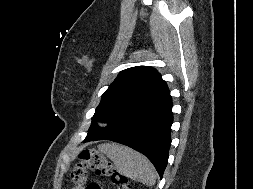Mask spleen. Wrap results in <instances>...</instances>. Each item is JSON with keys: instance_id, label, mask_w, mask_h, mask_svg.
<instances>
[{"instance_id": "obj_1", "label": "spleen", "mask_w": 253, "mask_h": 189, "mask_svg": "<svg viewBox=\"0 0 253 189\" xmlns=\"http://www.w3.org/2000/svg\"><path fill=\"white\" fill-rule=\"evenodd\" d=\"M98 149L114 162L120 174L143 184H155L156 170L152 163L139 152L115 143L100 144Z\"/></svg>"}]
</instances>
